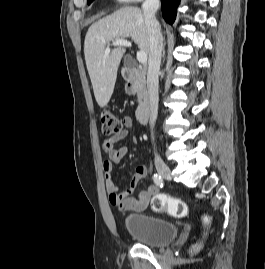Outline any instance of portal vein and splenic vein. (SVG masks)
I'll use <instances>...</instances> for the list:
<instances>
[{"mask_svg": "<svg viewBox=\"0 0 265 269\" xmlns=\"http://www.w3.org/2000/svg\"><path fill=\"white\" fill-rule=\"evenodd\" d=\"M113 46H125V47H131V43L125 39H116L112 43ZM110 53L109 46L106 47L105 54ZM137 60L141 64H145L147 62V54L144 51H138L137 54Z\"/></svg>", "mask_w": 265, "mask_h": 269, "instance_id": "obj_1", "label": "portal vein and splenic vein"}]
</instances>
